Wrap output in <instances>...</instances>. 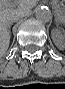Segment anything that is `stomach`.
Segmentation results:
<instances>
[{"mask_svg": "<svg viewBox=\"0 0 65 89\" xmlns=\"http://www.w3.org/2000/svg\"><path fill=\"white\" fill-rule=\"evenodd\" d=\"M53 8L57 18L64 23L65 21V5L63 3H54Z\"/></svg>", "mask_w": 65, "mask_h": 89, "instance_id": "stomach-1", "label": "stomach"}]
</instances>
